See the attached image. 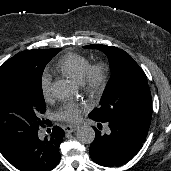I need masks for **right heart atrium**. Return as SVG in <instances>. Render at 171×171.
Instances as JSON below:
<instances>
[{
	"mask_svg": "<svg viewBox=\"0 0 171 171\" xmlns=\"http://www.w3.org/2000/svg\"><path fill=\"white\" fill-rule=\"evenodd\" d=\"M52 77L49 72H43L40 79V88L43 97L47 100L51 97Z\"/></svg>",
	"mask_w": 171,
	"mask_h": 171,
	"instance_id": "1",
	"label": "right heart atrium"
}]
</instances>
